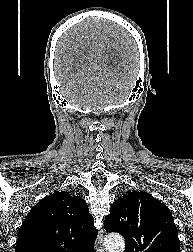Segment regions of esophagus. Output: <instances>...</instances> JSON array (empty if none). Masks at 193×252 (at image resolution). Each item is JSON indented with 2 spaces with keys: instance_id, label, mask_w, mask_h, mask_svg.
<instances>
[{
  "instance_id": "1",
  "label": "esophagus",
  "mask_w": 193,
  "mask_h": 252,
  "mask_svg": "<svg viewBox=\"0 0 193 252\" xmlns=\"http://www.w3.org/2000/svg\"><path fill=\"white\" fill-rule=\"evenodd\" d=\"M103 239H104V230L101 229L99 231L97 239H96V249H97V252H105V250H104V244H103Z\"/></svg>"
}]
</instances>
